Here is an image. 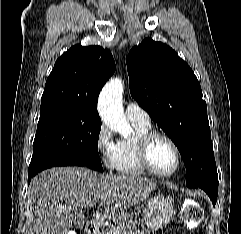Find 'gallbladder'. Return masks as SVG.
<instances>
[{
  "label": "gallbladder",
  "mask_w": 241,
  "mask_h": 234,
  "mask_svg": "<svg viewBox=\"0 0 241 234\" xmlns=\"http://www.w3.org/2000/svg\"><path fill=\"white\" fill-rule=\"evenodd\" d=\"M84 215L83 213L79 212V214L77 215V218H76V225L79 227V228H82L83 227V224H84Z\"/></svg>",
  "instance_id": "bac80fb5"
}]
</instances>
